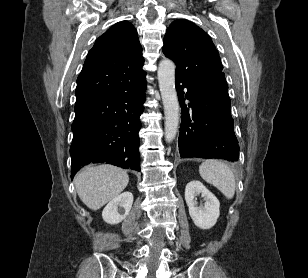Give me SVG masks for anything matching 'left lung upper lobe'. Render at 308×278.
I'll list each match as a JSON object with an SVG mask.
<instances>
[{
  "label": "left lung upper lobe",
  "mask_w": 308,
  "mask_h": 278,
  "mask_svg": "<svg viewBox=\"0 0 308 278\" xmlns=\"http://www.w3.org/2000/svg\"><path fill=\"white\" fill-rule=\"evenodd\" d=\"M176 64V77L188 82L222 73L219 53L209 35L194 23L176 20L167 29L162 49Z\"/></svg>",
  "instance_id": "left-lung-upper-lobe-1"
}]
</instances>
